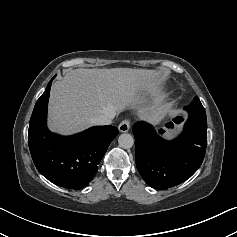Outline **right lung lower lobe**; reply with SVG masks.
Here are the masks:
<instances>
[{
  "instance_id": "right-lung-lower-lobe-1",
  "label": "right lung lower lobe",
  "mask_w": 237,
  "mask_h": 237,
  "mask_svg": "<svg viewBox=\"0 0 237 237\" xmlns=\"http://www.w3.org/2000/svg\"><path fill=\"white\" fill-rule=\"evenodd\" d=\"M51 82L33 110L28 144L37 170L54 184L71 189L85 187L94 177L109 144L118 134L114 126H95L73 136H59L46 126Z\"/></svg>"
}]
</instances>
